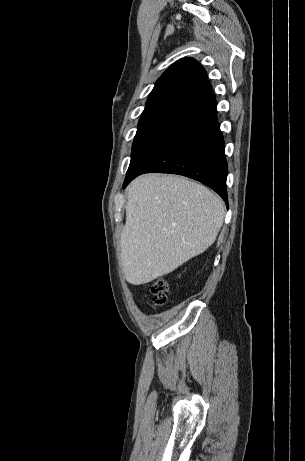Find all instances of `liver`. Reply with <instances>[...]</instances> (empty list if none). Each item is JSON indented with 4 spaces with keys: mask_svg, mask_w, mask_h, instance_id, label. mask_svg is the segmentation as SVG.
I'll list each match as a JSON object with an SVG mask.
<instances>
[{
    "mask_svg": "<svg viewBox=\"0 0 305 461\" xmlns=\"http://www.w3.org/2000/svg\"><path fill=\"white\" fill-rule=\"evenodd\" d=\"M225 216L223 201L187 178L147 174L128 187L121 262L141 285L173 272L211 246Z\"/></svg>",
    "mask_w": 305,
    "mask_h": 461,
    "instance_id": "obj_1",
    "label": "liver"
}]
</instances>
